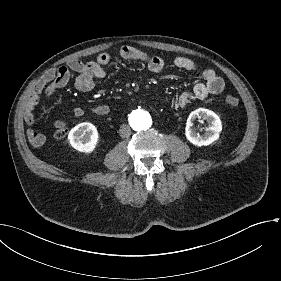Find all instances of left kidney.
<instances>
[{
	"label": "left kidney",
	"mask_w": 281,
	"mask_h": 281,
	"mask_svg": "<svg viewBox=\"0 0 281 281\" xmlns=\"http://www.w3.org/2000/svg\"><path fill=\"white\" fill-rule=\"evenodd\" d=\"M203 119L208 122V127L203 135L198 134L192 128L196 119ZM222 131V123L219 116L211 110L198 108L190 113L187 118L185 135L186 138L196 146H207L219 138Z\"/></svg>",
	"instance_id": "left-kidney-1"
}]
</instances>
